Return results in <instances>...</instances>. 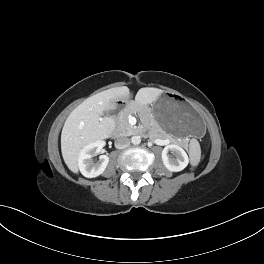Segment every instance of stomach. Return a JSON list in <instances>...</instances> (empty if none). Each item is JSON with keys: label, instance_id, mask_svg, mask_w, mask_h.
<instances>
[{"label": "stomach", "instance_id": "1", "mask_svg": "<svg viewBox=\"0 0 264 264\" xmlns=\"http://www.w3.org/2000/svg\"><path fill=\"white\" fill-rule=\"evenodd\" d=\"M150 111L153 119L166 132L179 133L184 137H198L204 133L205 125L197 111L179 95H159Z\"/></svg>", "mask_w": 264, "mask_h": 264}]
</instances>
